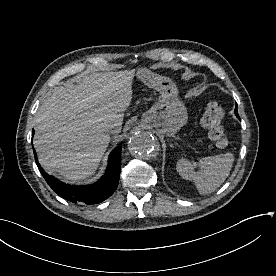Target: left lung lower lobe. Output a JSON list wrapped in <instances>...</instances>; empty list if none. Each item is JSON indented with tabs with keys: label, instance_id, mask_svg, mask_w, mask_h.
<instances>
[{
	"label": "left lung lower lobe",
	"instance_id": "obj_1",
	"mask_svg": "<svg viewBox=\"0 0 276 276\" xmlns=\"http://www.w3.org/2000/svg\"><path fill=\"white\" fill-rule=\"evenodd\" d=\"M235 114H236V116L239 118V115H238V112H237V104H236V109H235ZM240 119V118H239Z\"/></svg>",
	"mask_w": 276,
	"mask_h": 276
}]
</instances>
